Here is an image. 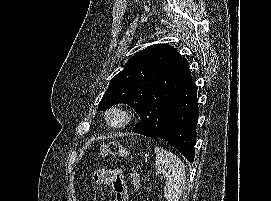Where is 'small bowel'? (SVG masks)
I'll return each instance as SVG.
<instances>
[{"mask_svg": "<svg viewBox=\"0 0 271 201\" xmlns=\"http://www.w3.org/2000/svg\"><path fill=\"white\" fill-rule=\"evenodd\" d=\"M93 182L98 187L110 186L114 198L107 201H129L123 173L118 168L99 169L93 175Z\"/></svg>", "mask_w": 271, "mask_h": 201, "instance_id": "small-bowel-1", "label": "small bowel"}]
</instances>
